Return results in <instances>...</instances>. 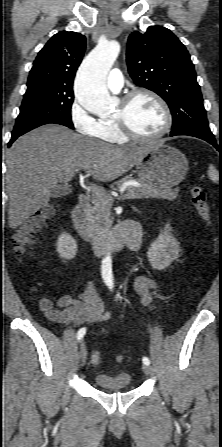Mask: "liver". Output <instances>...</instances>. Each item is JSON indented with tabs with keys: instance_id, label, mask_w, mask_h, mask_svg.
<instances>
[{
	"instance_id": "liver-1",
	"label": "liver",
	"mask_w": 222,
	"mask_h": 447,
	"mask_svg": "<svg viewBox=\"0 0 222 447\" xmlns=\"http://www.w3.org/2000/svg\"><path fill=\"white\" fill-rule=\"evenodd\" d=\"M114 146L59 125H45L18 138L7 152L5 182L9 227L16 229L45 207L59 183L80 169L107 182L134 167L150 146Z\"/></svg>"
}]
</instances>
